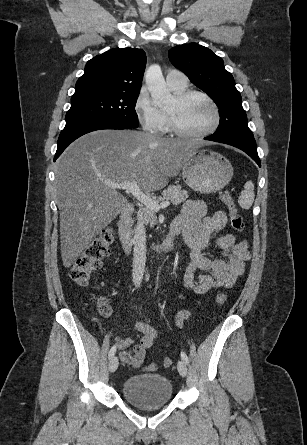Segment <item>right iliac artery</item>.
Instances as JSON below:
<instances>
[{"label": "right iliac artery", "mask_w": 307, "mask_h": 445, "mask_svg": "<svg viewBox=\"0 0 307 445\" xmlns=\"http://www.w3.org/2000/svg\"><path fill=\"white\" fill-rule=\"evenodd\" d=\"M115 353H116V345H113L108 354L109 358H112L115 355Z\"/></svg>", "instance_id": "obj_1"}]
</instances>
